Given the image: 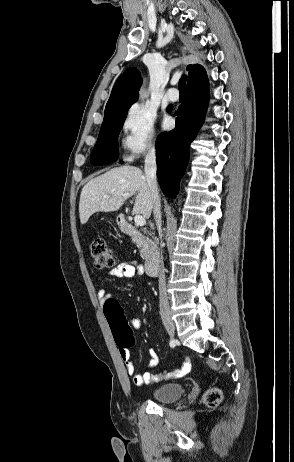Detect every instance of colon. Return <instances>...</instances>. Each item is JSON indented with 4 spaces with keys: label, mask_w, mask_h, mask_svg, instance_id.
<instances>
[{
    "label": "colon",
    "mask_w": 294,
    "mask_h": 462,
    "mask_svg": "<svg viewBox=\"0 0 294 462\" xmlns=\"http://www.w3.org/2000/svg\"><path fill=\"white\" fill-rule=\"evenodd\" d=\"M90 253L93 265L98 269L111 268L115 264V255L106 241L96 238L91 242ZM105 317L110 325L116 344L120 347H131L134 344V336L124 312L119 303L112 298L105 300L103 304ZM222 400V392L219 389L208 390L204 395V401L209 406H216Z\"/></svg>",
    "instance_id": "1"
}]
</instances>
